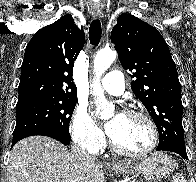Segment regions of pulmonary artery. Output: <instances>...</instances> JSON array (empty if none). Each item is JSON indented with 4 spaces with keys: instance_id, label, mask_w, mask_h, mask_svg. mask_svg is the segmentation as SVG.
Returning a JSON list of instances; mask_svg holds the SVG:
<instances>
[{
    "instance_id": "pulmonary-artery-1",
    "label": "pulmonary artery",
    "mask_w": 196,
    "mask_h": 182,
    "mask_svg": "<svg viewBox=\"0 0 196 182\" xmlns=\"http://www.w3.org/2000/svg\"><path fill=\"white\" fill-rule=\"evenodd\" d=\"M101 88L109 94L121 95L124 92V76L119 71L113 70L106 74L101 81Z\"/></svg>"
}]
</instances>
